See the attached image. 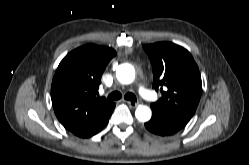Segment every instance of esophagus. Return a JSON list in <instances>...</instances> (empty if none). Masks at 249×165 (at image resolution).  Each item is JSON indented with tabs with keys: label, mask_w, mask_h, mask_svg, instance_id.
Here are the masks:
<instances>
[{
	"label": "esophagus",
	"mask_w": 249,
	"mask_h": 165,
	"mask_svg": "<svg viewBox=\"0 0 249 165\" xmlns=\"http://www.w3.org/2000/svg\"><path fill=\"white\" fill-rule=\"evenodd\" d=\"M127 104L131 107V108H136L139 103L138 102H133V101H127Z\"/></svg>",
	"instance_id": "1"
}]
</instances>
